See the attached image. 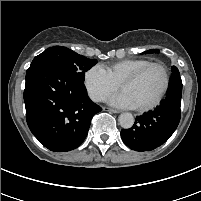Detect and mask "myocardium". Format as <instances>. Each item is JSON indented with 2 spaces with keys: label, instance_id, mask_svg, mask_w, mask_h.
Here are the masks:
<instances>
[{
  "label": "myocardium",
  "instance_id": "myocardium-1",
  "mask_svg": "<svg viewBox=\"0 0 201 201\" xmlns=\"http://www.w3.org/2000/svg\"><path fill=\"white\" fill-rule=\"evenodd\" d=\"M150 67H159L162 70L163 75H164V83H163L162 89L159 92L158 96L152 102H150L146 105L134 107L136 110L141 111V112L148 111L150 109L155 108L166 95V93L169 89V86H170V73H169L167 66L162 62H149V63L145 64L144 66L135 70L130 75H128L119 84V87L122 90V88L125 85L130 84V83L134 82L135 80H137Z\"/></svg>",
  "mask_w": 201,
  "mask_h": 201
}]
</instances>
